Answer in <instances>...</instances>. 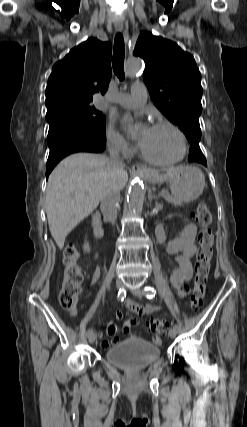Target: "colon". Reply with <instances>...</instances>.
Listing matches in <instances>:
<instances>
[{
  "instance_id": "colon-1",
  "label": "colon",
  "mask_w": 247,
  "mask_h": 427,
  "mask_svg": "<svg viewBox=\"0 0 247 427\" xmlns=\"http://www.w3.org/2000/svg\"><path fill=\"white\" fill-rule=\"evenodd\" d=\"M196 219L201 227L198 235L199 248L194 265V279L190 297L189 308L197 311L204 299L210 264L213 255V232L211 224L212 212L205 203L199 204L195 213ZM79 252L77 247L70 243L63 251L64 274L59 293V302L63 308L75 312L78 297L83 283V274L78 265ZM150 330L156 334H165L169 324L157 318L151 319L148 324Z\"/></svg>"
}]
</instances>
